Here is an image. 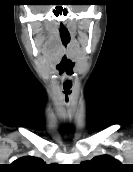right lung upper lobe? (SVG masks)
<instances>
[{
    "mask_svg": "<svg viewBox=\"0 0 133 172\" xmlns=\"http://www.w3.org/2000/svg\"><path fill=\"white\" fill-rule=\"evenodd\" d=\"M10 168L18 172H41L45 169V163L40 158L25 156L14 161Z\"/></svg>",
    "mask_w": 133,
    "mask_h": 172,
    "instance_id": "cb5924a9",
    "label": "right lung upper lobe"
}]
</instances>
